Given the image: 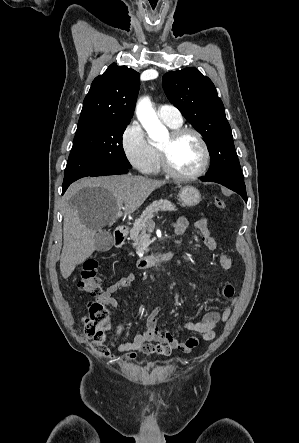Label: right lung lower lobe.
<instances>
[{
	"label": "right lung lower lobe",
	"mask_w": 299,
	"mask_h": 443,
	"mask_svg": "<svg viewBox=\"0 0 299 443\" xmlns=\"http://www.w3.org/2000/svg\"><path fill=\"white\" fill-rule=\"evenodd\" d=\"M128 172V168H122V167H117V168H110V169H105L102 171H99L97 173L92 174L91 176H104V175H116V174H125ZM70 184H66L62 186V194L66 191V189L68 188Z\"/></svg>",
	"instance_id": "98d812e1"
}]
</instances>
